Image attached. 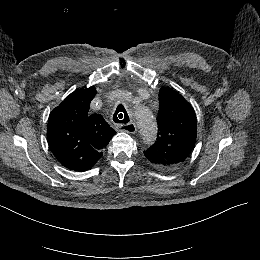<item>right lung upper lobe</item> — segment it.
Masks as SVG:
<instances>
[{
	"instance_id": "right-lung-upper-lobe-1",
	"label": "right lung upper lobe",
	"mask_w": 260,
	"mask_h": 260,
	"mask_svg": "<svg viewBox=\"0 0 260 260\" xmlns=\"http://www.w3.org/2000/svg\"><path fill=\"white\" fill-rule=\"evenodd\" d=\"M94 87L71 93L49 116L47 140L57 160L66 168L86 171L102 157L115 131L99 114H89Z\"/></svg>"
}]
</instances>
